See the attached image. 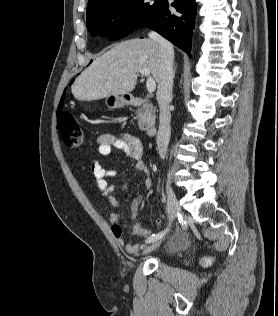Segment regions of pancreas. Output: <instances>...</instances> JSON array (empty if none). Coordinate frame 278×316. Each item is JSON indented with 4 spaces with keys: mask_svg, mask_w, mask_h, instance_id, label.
I'll list each match as a JSON object with an SVG mask.
<instances>
[{
    "mask_svg": "<svg viewBox=\"0 0 278 316\" xmlns=\"http://www.w3.org/2000/svg\"><path fill=\"white\" fill-rule=\"evenodd\" d=\"M155 112L156 109L151 103H147L145 107L139 108L136 111L138 126L142 131L147 130L150 126L155 124Z\"/></svg>",
    "mask_w": 278,
    "mask_h": 316,
    "instance_id": "pancreas-1",
    "label": "pancreas"
}]
</instances>
